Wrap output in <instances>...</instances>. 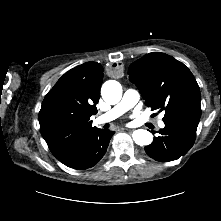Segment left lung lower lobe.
<instances>
[{"label":"left lung lower lobe","instance_id":"left-lung-lower-lobe-1","mask_svg":"<svg viewBox=\"0 0 221 221\" xmlns=\"http://www.w3.org/2000/svg\"><path fill=\"white\" fill-rule=\"evenodd\" d=\"M199 118H187L164 121L165 127L159 130L152 144L146 146L145 152L159 162H169L185 155L193 146ZM154 134V132L152 131Z\"/></svg>","mask_w":221,"mask_h":221}]
</instances>
